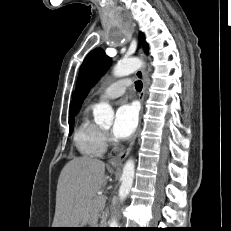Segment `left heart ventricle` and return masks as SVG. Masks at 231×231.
I'll return each mask as SVG.
<instances>
[{
	"instance_id": "obj_1",
	"label": "left heart ventricle",
	"mask_w": 231,
	"mask_h": 231,
	"mask_svg": "<svg viewBox=\"0 0 231 231\" xmlns=\"http://www.w3.org/2000/svg\"><path fill=\"white\" fill-rule=\"evenodd\" d=\"M105 130H109V126H108V127H105Z\"/></svg>"
}]
</instances>
